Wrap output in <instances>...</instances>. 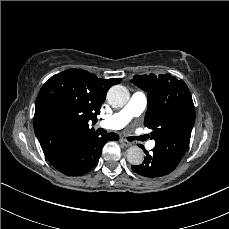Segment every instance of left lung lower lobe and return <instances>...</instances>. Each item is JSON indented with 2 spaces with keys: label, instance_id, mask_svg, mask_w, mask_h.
Instances as JSON below:
<instances>
[{
  "label": "left lung lower lobe",
  "instance_id": "1",
  "mask_svg": "<svg viewBox=\"0 0 229 229\" xmlns=\"http://www.w3.org/2000/svg\"><path fill=\"white\" fill-rule=\"evenodd\" d=\"M146 157L142 164L132 165V170L142 176L148 178H159L171 173L176 167L169 165L162 158L157 149H153V153L149 154L145 149Z\"/></svg>",
  "mask_w": 229,
  "mask_h": 229
}]
</instances>
